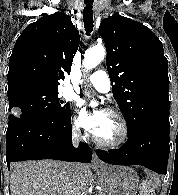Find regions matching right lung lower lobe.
Returning <instances> with one entry per match:
<instances>
[{"label": "right lung lower lobe", "instance_id": "1", "mask_svg": "<svg viewBox=\"0 0 178 195\" xmlns=\"http://www.w3.org/2000/svg\"><path fill=\"white\" fill-rule=\"evenodd\" d=\"M70 113L59 116H36L22 113L9 116L6 132V161L56 159L90 163L92 152L80 142L75 149L71 143Z\"/></svg>", "mask_w": 178, "mask_h": 195}]
</instances>
